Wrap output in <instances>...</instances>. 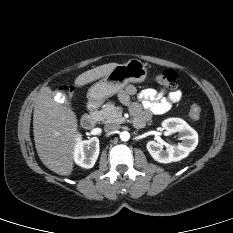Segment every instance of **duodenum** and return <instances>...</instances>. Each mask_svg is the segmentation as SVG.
Listing matches in <instances>:
<instances>
[{"instance_id": "410a0bca", "label": "duodenum", "mask_w": 233, "mask_h": 233, "mask_svg": "<svg viewBox=\"0 0 233 233\" xmlns=\"http://www.w3.org/2000/svg\"><path fill=\"white\" fill-rule=\"evenodd\" d=\"M98 101H91L88 105L87 112L81 118V125L85 129H91L97 121Z\"/></svg>"}]
</instances>
